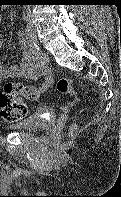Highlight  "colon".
Returning <instances> with one entry per match:
<instances>
[{
    "label": "colon",
    "instance_id": "colon-1",
    "mask_svg": "<svg viewBox=\"0 0 121 197\" xmlns=\"http://www.w3.org/2000/svg\"><path fill=\"white\" fill-rule=\"evenodd\" d=\"M75 82L69 77H60L56 82V88L61 93H75ZM34 90L31 86L9 82L0 91V114L8 122L20 121L27 115V105L24 99L32 100Z\"/></svg>",
    "mask_w": 121,
    "mask_h": 197
}]
</instances>
